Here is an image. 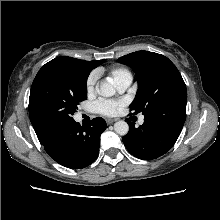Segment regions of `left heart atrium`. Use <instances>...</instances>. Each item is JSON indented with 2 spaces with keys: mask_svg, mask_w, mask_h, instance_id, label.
Listing matches in <instances>:
<instances>
[{
  "mask_svg": "<svg viewBox=\"0 0 220 220\" xmlns=\"http://www.w3.org/2000/svg\"><path fill=\"white\" fill-rule=\"evenodd\" d=\"M95 106L99 113L112 116L118 111L120 103L112 100H100Z\"/></svg>",
  "mask_w": 220,
  "mask_h": 220,
  "instance_id": "left-heart-atrium-1",
  "label": "left heart atrium"
}]
</instances>
